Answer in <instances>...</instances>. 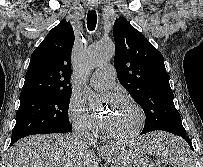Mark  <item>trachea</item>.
Masks as SVG:
<instances>
[{
  "label": "trachea",
  "instance_id": "trachea-1",
  "mask_svg": "<svg viewBox=\"0 0 203 167\" xmlns=\"http://www.w3.org/2000/svg\"><path fill=\"white\" fill-rule=\"evenodd\" d=\"M97 23V14L95 10H90L87 14V27L89 31H93Z\"/></svg>",
  "mask_w": 203,
  "mask_h": 167
}]
</instances>
